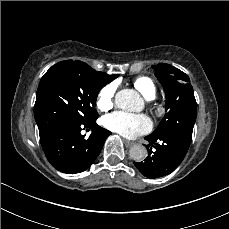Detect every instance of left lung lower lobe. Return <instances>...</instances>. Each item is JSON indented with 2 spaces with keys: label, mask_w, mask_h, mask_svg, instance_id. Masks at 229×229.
Instances as JSON below:
<instances>
[{
  "label": "left lung lower lobe",
  "mask_w": 229,
  "mask_h": 229,
  "mask_svg": "<svg viewBox=\"0 0 229 229\" xmlns=\"http://www.w3.org/2000/svg\"><path fill=\"white\" fill-rule=\"evenodd\" d=\"M152 147L144 162H134L137 169L147 178L155 179L173 172L184 159L190 143L174 136L149 135L145 137ZM150 145H146L150 147Z\"/></svg>",
  "instance_id": "left-lung-lower-lobe-1"
}]
</instances>
